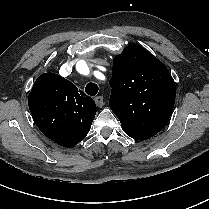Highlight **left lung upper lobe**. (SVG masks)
Wrapping results in <instances>:
<instances>
[{
	"mask_svg": "<svg viewBox=\"0 0 209 209\" xmlns=\"http://www.w3.org/2000/svg\"><path fill=\"white\" fill-rule=\"evenodd\" d=\"M109 84V106L128 136L146 140L167 124L175 103V82L146 49L133 44L115 56Z\"/></svg>",
	"mask_w": 209,
	"mask_h": 209,
	"instance_id": "obj_1",
	"label": "left lung upper lobe"
}]
</instances>
